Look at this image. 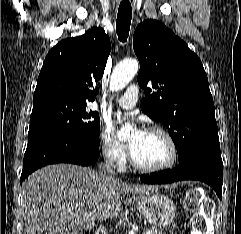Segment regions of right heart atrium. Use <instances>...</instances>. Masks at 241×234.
<instances>
[{
	"label": "right heart atrium",
	"mask_w": 241,
	"mask_h": 234,
	"mask_svg": "<svg viewBox=\"0 0 241 234\" xmlns=\"http://www.w3.org/2000/svg\"><path fill=\"white\" fill-rule=\"evenodd\" d=\"M99 147L102 156L110 164L122 168L128 157V147L117 139L109 127H103L99 134Z\"/></svg>",
	"instance_id": "obj_1"
}]
</instances>
